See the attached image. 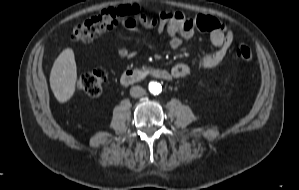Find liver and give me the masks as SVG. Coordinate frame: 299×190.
Segmentation results:
<instances>
[{"label":"liver","mask_w":299,"mask_h":190,"mask_svg":"<svg viewBox=\"0 0 299 190\" xmlns=\"http://www.w3.org/2000/svg\"><path fill=\"white\" fill-rule=\"evenodd\" d=\"M77 68L74 53L65 49L55 60L50 73V86L59 102H66L75 92Z\"/></svg>","instance_id":"6515ba94"}]
</instances>
